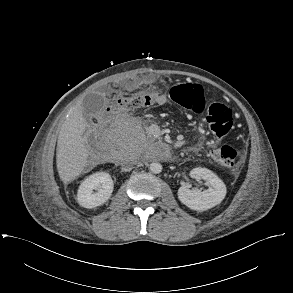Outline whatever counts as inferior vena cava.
<instances>
[{
	"instance_id": "1",
	"label": "inferior vena cava",
	"mask_w": 293,
	"mask_h": 293,
	"mask_svg": "<svg viewBox=\"0 0 293 293\" xmlns=\"http://www.w3.org/2000/svg\"><path fill=\"white\" fill-rule=\"evenodd\" d=\"M135 163H136L135 160H132V161L126 163V165L122 167V171H131L132 170V166Z\"/></svg>"
}]
</instances>
